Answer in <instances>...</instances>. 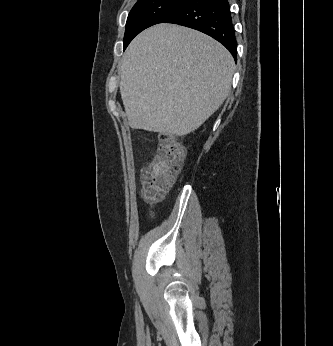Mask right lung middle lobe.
Returning a JSON list of instances; mask_svg holds the SVG:
<instances>
[{
	"label": "right lung middle lobe",
	"instance_id": "obj_1",
	"mask_svg": "<svg viewBox=\"0 0 333 346\" xmlns=\"http://www.w3.org/2000/svg\"><path fill=\"white\" fill-rule=\"evenodd\" d=\"M185 0H138L130 11L125 35L124 50L131 40L144 29L162 23L176 11Z\"/></svg>",
	"mask_w": 333,
	"mask_h": 346
}]
</instances>
